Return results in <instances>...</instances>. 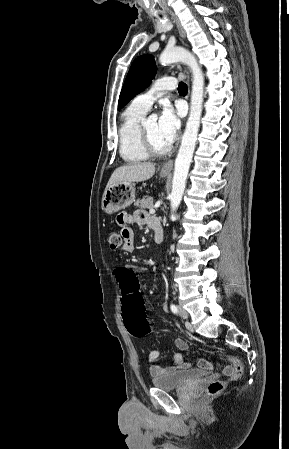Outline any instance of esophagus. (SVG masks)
<instances>
[{
  "instance_id": "1",
  "label": "esophagus",
  "mask_w": 289,
  "mask_h": 449,
  "mask_svg": "<svg viewBox=\"0 0 289 449\" xmlns=\"http://www.w3.org/2000/svg\"><path fill=\"white\" fill-rule=\"evenodd\" d=\"M174 22L176 23V26L178 28L179 34L182 38H185V31L183 29V27L181 26L180 22L178 21V19L176 18V16L174 14H171ZM186 76L188 78L189 81V71L187 68L184 69ZM173 168V160H169L167 162H165L161 168L162 172H170Z\"/></svg>"
}]
</instances>
